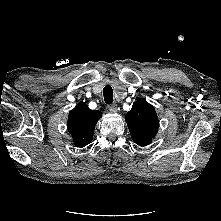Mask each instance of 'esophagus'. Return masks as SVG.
Returning <instances> with one entry per match:
<instances>
[{
  "label": "esophagus",
  "mask_w": 221,
  "mask_h": 221,
  "mask_svg": "<svg viewBox=\"0 0 221 221\" xmlns=\"http://www.w3.org/2000/svg\"><path fill=\"white\" fill-rule=\"evenodd\" d=\"M108 110L112 113H116L118 111V107L116 104H112L108 106Z\"/></svg>",
  "instance_id": "obj_1"
}]
</instances>
